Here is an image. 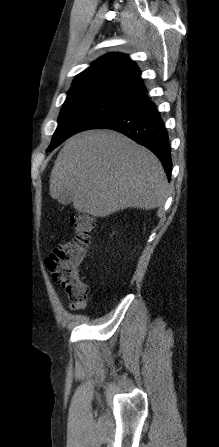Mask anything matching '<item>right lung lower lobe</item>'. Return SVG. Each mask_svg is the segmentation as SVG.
I'll return each mask as SVG.
<instances>
[{"label": "right lung lower lobe", "instance_id": "98d812e1", "mask_svg": "<svg viewBox=\"0 0 219 447\" xmlns=\"http://www.w3.org/2000/svg\"><path fill=\"white\" fill-rule=\"evenodd\" d=\"M98 129L118 131L151 150L161 161L168 180H170L171 149L164 122L154 103L146 101L134 109L106 121Z\"/></svg>", "mask_w": 219, "mask_h": 447}]
</instances>
